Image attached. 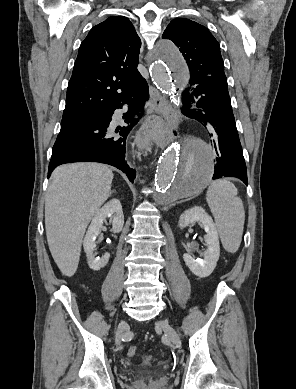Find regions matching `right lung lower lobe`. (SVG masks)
I'll return each instance as SVG.
<instances>
[{
  "instance_id": "right-lung-lower-lobe-1",
  "label": "right lung lower lobe",
  "mask_w": 296,
  "mask_h": 389,
  "mask_svg": "<svg viewBox=\"0 0 296 389\" xmlns=\"http://www.w3.org/2000/svg\"><path fill=\"white\" fill-rule=\"evenodd\" d=\"M148 98V85L140 76L127 92L123 103L119 106L91 117L90 121L73 128L60 132L53 146L51 161L49 163L48 177L59 165L71 162H100L112 165L134 181L136 172L125 161L126 139L137 124L138 119L133 115L143 110V103ZM128 104L125 122L128 126L121 128L120 137L110 136L107 127L112 120L115 109ZM139 118L141 114H138Z\"/></svg>"
}]
</instances>
